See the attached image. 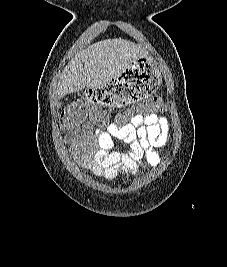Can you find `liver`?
Here are the masks:
<instances>
[{
  "instance_id": "obj_1",
  "label": "liver",
  "mask_w": 227,
  "mask_h": 267,
  "mask_svg": "<svg viewBox=\"0 0 227 267\" xmlns=\"http://www.w3.org/2000/svg\"><path fill=\"white\" fill-rule=\"evenodd\" d=\"M145 56V51L124 39H107L90 45L78 53L66 66L57 84L56 94L61 98L85 88L103 87L111 82L128 64Z\"/></svg>"
}]
</instances>
